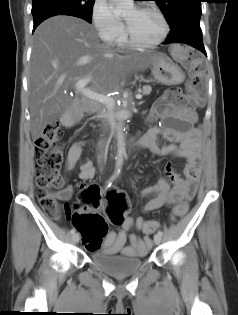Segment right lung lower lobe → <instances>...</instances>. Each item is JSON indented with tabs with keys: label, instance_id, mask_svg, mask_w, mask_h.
<instances>
[{
	"label": "right lung lower lobe",
	"instance_id": "right-lung-lower-lobe-1",
	"mask_svg": "<svg viewBox=\"0 0 238 315\" xmlns=\"http://www.w3.org/2000/svg\"><path fill=\"white\" fill-rule=\"evenodd\" d=\"M56 15H70V16H75L82 18L86 20L87 22L91 23V19L79 14L78 12L66 10V9H45L38 11L33 14V21H34V26H33V31L37 28V26L46 20L47 18H50L52 16Z\"/></svg>",
	"mask_w": 238,
	"mask_h": 315
}]
</instances>
